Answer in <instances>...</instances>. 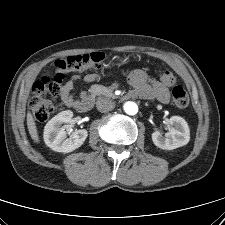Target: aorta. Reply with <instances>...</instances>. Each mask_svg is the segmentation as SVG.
I'll use <instances>...</instances> for the list:
<instances>
[{
  "label": "aorta",
  "mask_w": 225,
  "mask_h": 225,
  "mask_svg": "<svg viewBox=\"0 0 225 225\" xmlns=\"http://www.w3.org/2000/svg\"><path fill=\"white\" fill-rule=\"evenodd\" d=\"M123 107L128 115H135L138 112V106L135 102H126Z\"/></svg>",
  "instance_id": "1"
}]
</instances>
